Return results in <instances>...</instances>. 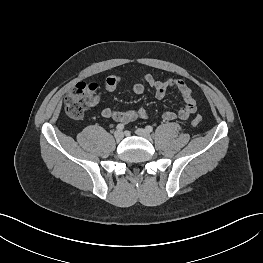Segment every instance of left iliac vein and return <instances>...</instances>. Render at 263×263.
Segmentation results:
<instances>
[{"label": "left iliac vein", "mask_w": 263, "mask_h": 263, "mask_svg": "<svg viewBox=\"0 0 263 263\" xmlns=\"http://www.w3.org/2000/svg\"><path fill=\"white\" fill-rule=\"evenodd\" d=\"M135 133L138 135V136H141V137H144L148 140L151 139V135L150 133L146 130V129H143V128H138L135 130Z\"/></svg>", "instance_id": "1"}]
</instances>
